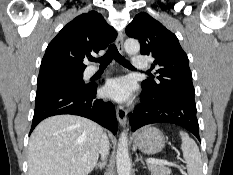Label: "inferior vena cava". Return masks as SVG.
<instances>
[{
	"mask_svg": "<svg viewBox=\"0 0 233 175\" xmlns=\"http://www.w3.org/2000/svg\"><path fill=\"white\" fill-rule=\"evenodd\" d=\"M99 152L101 154V159L104 161L109 152V141L105 134H102Z\"/></svg>",
	"mask_w": 233,
	"mask_h": 175,
	"instance_id": "602c4592",
	"label": "inferior vena cava"
}]
</instances>
